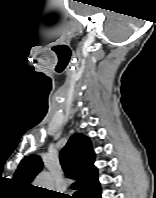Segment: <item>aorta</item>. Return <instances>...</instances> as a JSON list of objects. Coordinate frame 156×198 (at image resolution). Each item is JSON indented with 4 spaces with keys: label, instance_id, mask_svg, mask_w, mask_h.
Masks as SVG:
<instances>
[{
    "label": "aorta",
    "instance_id": "1",
    "mask_svg": "<svg viewBox=\"0 0 156 198\" xmlns=\"http://www.w3.org/2000/svg\"><path fill=\"white\" fill-rule=\"evenodd\" d=\"M35 184L38 187L47 188L50 190L53 186L52 176L48 172H43L36 178Z\"/></svg>",
    "mask_w": 156,
    "mask_h": 198
}]
</instances>
